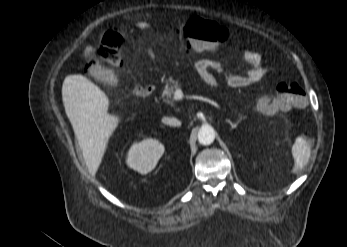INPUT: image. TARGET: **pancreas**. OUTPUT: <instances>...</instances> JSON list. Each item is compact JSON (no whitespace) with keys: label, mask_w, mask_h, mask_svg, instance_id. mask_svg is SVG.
<instances>
[{"label":"pancreas","mask_w":347,"mask_h":247,"mask_svg":"<svg viewBox=\"0 0 347 247\" xmlns=\"http://www.w3.org/2000/svg\"><path fill=\"white\" fill-rule=\"evenodd\" d=\"M181 85L179 84L178 80L173 79L172 77L165 80V86L162 93V98H164L165 101H168L172 94L174 93L176 88H179Z\"/></svg>","instance_id":"obj_1"}]
</instances>
